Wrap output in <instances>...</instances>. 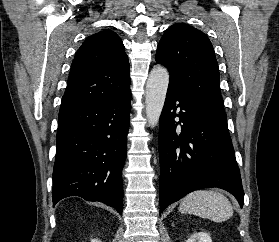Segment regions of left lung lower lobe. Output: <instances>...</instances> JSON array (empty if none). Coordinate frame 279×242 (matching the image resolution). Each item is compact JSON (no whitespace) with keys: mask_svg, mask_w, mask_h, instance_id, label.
<instances>
[{"mask_svg":"<svg viewBox=\"0 0 279 242\" xmlns=\"http://www.w3.org/2000/svg\"><path fill=\"white\" fill-rule=\"evenodd\" d=\"M159 157L160 213L188 193L208 187L230 192L243 205L227 123L170 82L159 120Z\"/></svg>","mask_w":279,"mask_h":242,"instance_id":"0a47b994","label":"left lung lower lobe"}]
</instances>
